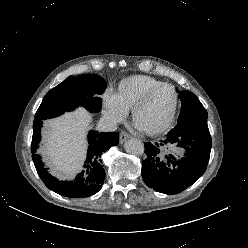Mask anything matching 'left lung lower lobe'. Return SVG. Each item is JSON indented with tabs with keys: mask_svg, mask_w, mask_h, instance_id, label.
Here are the masks:
<instances>
[{
	"mask_svg": "<svg viewBox=\"0 0 248 248\" xmlns=\"http://www.w3.org/2000/svg\"><path fill=\"white\" fill-rule=\"evenodd\" d=\"M175 144L185 151L176 160L163 156V148ZM146 159L142 162V177L146 185L157 192L178 194L195 183L205 172L212 146L207 119L178 122L160 143H144Z\"/></svg>",
	"mask_w": 248,
	"mask_h": 248,
	"instance_id": "1",
	"label": "left lung lower lobe"
}]
</instances>
